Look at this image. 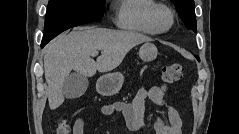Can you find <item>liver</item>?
<instances>
[{
    "instance_id": "6515ba94",
    "label": "liver",
    "mask_w": 239,
    "mask_h": 134,
    "mask_svg": "<svg viewBox=\"0 0 239 134\" xmlns=\"http://www.w3.org/2000/svg\"><path fill=\"white\" fill-rule=\"evenodd\" d=\"M151 38L138 32L82 27L51 41L45 49L44 71L48 84L51 110L64 102L63 84L71 70L92 77L96 71L108 72L117 68L126 54L136 45ZM101 50L94 61L90 56Z\"/></svg>"
}]
</instances>
